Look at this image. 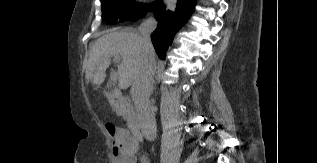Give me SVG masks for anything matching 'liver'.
Returning <instances> with one entry per match:
<instances>
[{
    "label": "liver",
    "instance_id": "6515ba94",
    "mask_svg": "<svg viewBox=\"0 0 317 163\" xmlns=\"http://www.w3.org/2000/svg\"><path fill=\"white\" fill-rule=\"evenodd\" d=\"M155 56V54H154ZM112 57L121 59L118 66L120 88L133 84L142 63L141 35L133 29L111 31L98 38L93 45L86 67V80L99 87L105 79Z\"/></svg>",
    "mask_w": 317,
    "mask_h": 163
}]
</instances>
